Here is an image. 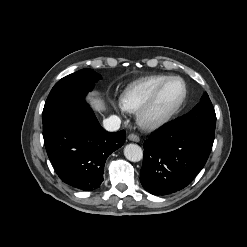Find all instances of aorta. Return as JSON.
Returning <instances> with one entry per match:
<instances>
[{"label":"aorta","mask_w":247,"mask_h":247,"mask_svg":"<svg viewBox=\"0 0 247 247\" xmlns=\"http://www.w3.org/2000/svg\"><path fill=\"white\" fill-rule=\"evenodd\" d=\"M125 157L131 162H138L143 158V150L137 144H128L124 148Z\"/></svg>","instance_id":"762f6f07"}]
</instances>
